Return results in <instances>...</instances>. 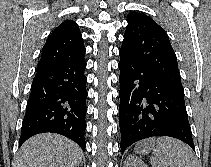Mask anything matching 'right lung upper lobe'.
I'll use <instances>...</instances> for the list:
<instances>
[{"label": "right lung upper lobe", "mask_w": 211, "mask_h": 167, "mask_svg": "<svg viewBox=\"0 0 211 167\" xmlns=\"http://www.w3.org/2000/svg\"><path fill=\"white\" fill-rule=\"evenodd\" d=\"M84 54L85 47L78 25L73 20H66L49 35L36 71L72 62Z\"/></svg>", "instance_id": "obj_1"}]
</instances>
